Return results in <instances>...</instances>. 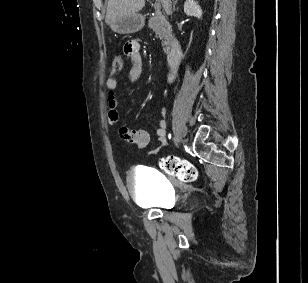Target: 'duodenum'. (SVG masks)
I'll return each instance as SVG.
<instances>
[{
	"label": "duodenum",
	"instance_id": "duodenum-1",
	"mask_svg": "<svg viewBox=\"0 0 308 283\" xmlns=\"http://www.w3.org/2000/svg\"><path fill=\"white\" fill-rule=\"evenodd\" d=\"M182 56V46L178 40L172 42V46L167 55V62L171 71H176L178 62Z\"/></svg>",
	"mask_w": 308,
	"mask_h": 283
}]
</instances>
